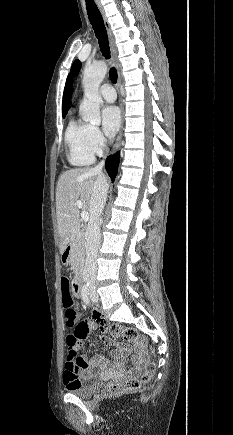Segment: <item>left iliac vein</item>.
I'll list each match as a JSON object with an SVG mask.
<instances>
[{
    "mask_svg": "<svg viewBox=\"0 0 233 435\" xmlns=\"http://www.w3.org/2000/svg\"><path fill=\"white\" fill-rule=\"evenodd\" d=\"M90 297H91V300H92L93 302H98V300H99V297H98L97 293H95V291H92Z\"/></svg>",
    "mask_w": 233,
    "mask_h": 435,
    "instance_id": "obj_1",
    "label": "left iliac vein"
}]
</instances>
